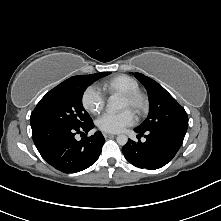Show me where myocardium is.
<instances>
[{
	"instance_id": "1",
	"label": "myocardium",
	"mask_w": 221,
	"mask_h": 221,
	"mask_svg": "<svg viewBox=\"0 0 221 221\" xmlns=\"http://www.w3.org/2000/svg\"><path fill=\"white\" fill-rule=\"evenodd\" d=\"M122 98L130 104L131 110L136 115H142L148 108V97L140 90L125 93Z\"/></svg>"
}]
</instances>
